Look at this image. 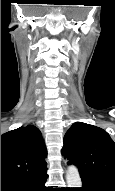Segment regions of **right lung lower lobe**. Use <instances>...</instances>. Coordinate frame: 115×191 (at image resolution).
Wrapping results in <instances>:
<instances>
[{"instance_id": "obj_1", "label": "right lung lower lobe", "mask_w": 115, "mask_h": 191, "mask_svg": "<svg viewBox=\"0 0 115 191\" xmlns=\"http://www.w3.org/2000/svg\"><path fill=\"white\" fill-rule=\"evenodd\" d=\"M47 173L21 181H2L1 191H48L45 187Z\"/></svg>"}]
</instances>
